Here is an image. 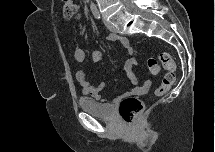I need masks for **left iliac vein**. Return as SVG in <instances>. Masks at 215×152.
Here are the masks:
<instances>
[{
    "label": "left iliac vein",
    "mask_w": 215,
    "mask_h": 152,
    "mask_svg": "<svg viewBox=\"0 0 215 152\" xmlns=\"http://www.w3.org/2000/svg\"><path fill=\"white\" fill-rule=\"evenodd\" d=\"M103 21L106 25V27L111 31V32H115L117 33L118 32V29L110 22H108L104 17H103Z\"/></svg>",
    "instance_id": "left-iliac-vein-1"
}]
</instances>
